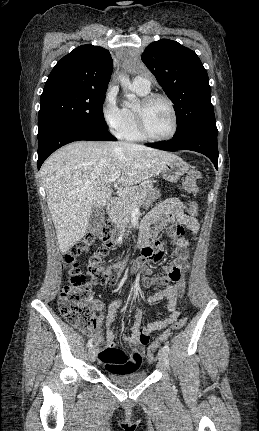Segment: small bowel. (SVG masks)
Listing matches in <instances>:
<instances>
[{
	"label": "small bowel",
	"mask_w": 259,
	"mask_h": 431,
	"mask_svg": "<svg viewBox=\"0 0 259 431\" xmlns=\"http://www.w3.org/2000/svg\"><path fill=\"white\" fill-rule=\"evenodd\" d=\"M189 206H186L177 198H166L157 203V205L145 216L140 227L139 246L143 248L149 245L152 240L156 239L160 230L167 223H178L184 225L193 234L198 232V222L195 217L189 215ZM189 241L185 238H179L176 241L174 259L163 268V277H154L144 275L138 277L143 281V285L161 287L164 289L155 292L147 298L148 303H158L164 299L167 300L168 314L161 320L152 322L145 327L141 326L143 311L136 305L135 317L131 327V334L124 335L123 341L131 347V352L116 349L115 335L113 324L115 321L117 309L125 302L122 298H116L107 305L99 300H92L96 310L104 313L98 319V326L94 334L98 346L100 347L98 358L106 369L124 370L127 367L133 369L139 368L143 360L144 344L140 341V334L147 332L149 334L157 333L177 320L179 313L177 310V301L184 294L186 287L185 272L188 270ZM126 262V261H125ZM140 259V264L145 263ZM104 324L105 338L101 337L100 326Z\"/></svg>",
	"instance_id": "obj_1"
}]
</instances>
